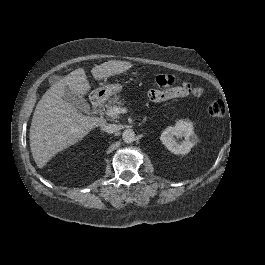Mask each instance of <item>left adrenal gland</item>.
<instances>
[{
	"instance_id": "1",
	"label": "left adrenal gland",
	"mask_w": 265,
	"mask_h": 265,
	"mask_svg": "<svg viewBox=\"0 0 265 265\" xmlns=\"http://www.w3.org/2000/svg\"><path fill=\"white\" fill-rule=\"evenodd\" d=\"M146 120H147V117H144V119H143V121H142V122H143V123H145V122H146Z\"/></svg>"
}]
</instances>
